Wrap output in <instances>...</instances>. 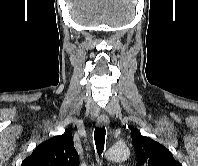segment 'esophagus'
<instances>
[{"label":"esophagus","instance_id":"34e87169","mask_svg":"<svg viewBox=\"0 0 198 166\" xmlns=\"http://www.w3.org/2000/svg\"><path fill=\"white\" fill-rule=\"evenodd\" d=\"M108 124H109V118H108L107 115L102 114V115H100V116L98 117V119H97V125H98L99 127H103V126H106V125H108Z\"/></svg>","mask_w":198,"mask_h":166}]
</instances>
